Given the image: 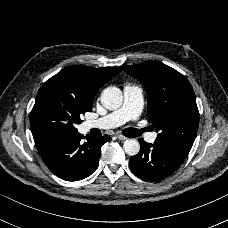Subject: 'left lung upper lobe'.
<instances>
[{"mask_svg": "<svg viewBox=\"0 0 228 228\" xmlns=\"http://www.w3.org/2000/svg\"><path fill=\"white\" fill-rule=\"evenodd\" d=\"M122 69L146 88L151 126L159 132L156 141L190 150L198 130L199 112L187 78L157 61Z\"/></svg>", "mask_w": 228, "mask_h": 228, "instance_id": "1", "label": "left lung upper lobe"}]
</instances>
